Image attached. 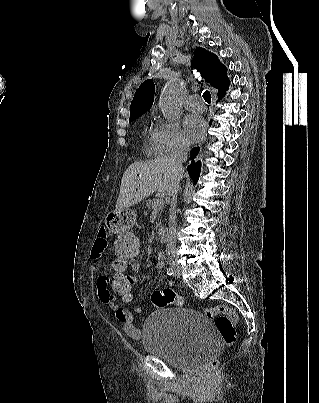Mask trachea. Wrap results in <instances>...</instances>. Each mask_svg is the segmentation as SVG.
<instances>
[{
    "label": "trachea",
    "mask_w": 319,
    "mask_h": 403,
    "mask_svg": "<svg viewBox=\"0 0 319 403\" xmlns=\"http://www.w3.org/2000/svg\"><path fill=\"white\" fill-rule=\"evenodd\" d=\"M203 98H204V100H205L208 104L211 103V94H210L209 91H205V92L203 93Z\"/></svg>",
    "instance_id": "1"
}]
</instances>
